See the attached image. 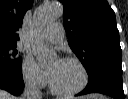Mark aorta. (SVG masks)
I'll use <instances>...</instances> for the list:
<instances>
[{"mask_svg":"<svg viewBox=\"0 0 128 99\" xmlns=\"http://www.w3.org/2000/svg\"><path fill=\"white\" fill-rule=\"evenodd\" d=\"M63 14L62 4L58 1H53L45 6L40 7L36 11L35 20L38 25H45L53 20H56ZM33 51L39 64L46 66L56 60V53L50 50L42 43H34Z\"/></svg>","mask_w":128,"mask_h":99,"instance_id":"762f6f07","label":"aorta"}]
</instances>
